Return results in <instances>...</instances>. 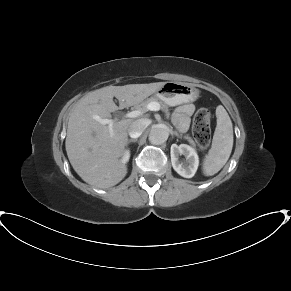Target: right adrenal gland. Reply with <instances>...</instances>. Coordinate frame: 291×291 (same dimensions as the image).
Instances as JSON below:
<instances>
[{
    "mask_svg": "<svg viewBox=\"0 0 291 291\" xmlns=\"http://www.w3.org/2000/svg\"><path fill=\"white\" fill-rule=\"evenodd\" d=\"M133 142H137V139H129V140H128V144H129V143H133Z\"/></svg>",
    "mask_w": 291,
    "mask_h": 291,
    "instance_id": "1",
    "label": "right adrenal gland"
}]
</instances>
